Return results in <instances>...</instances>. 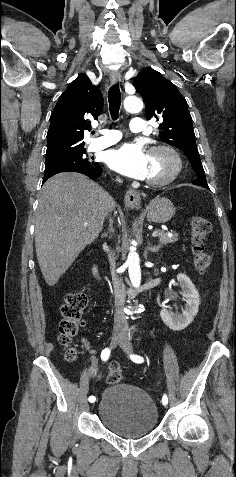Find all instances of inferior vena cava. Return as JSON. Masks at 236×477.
Segmentation results:
<instances>
[{"label":"inferior vena cava","instance_id":"inferior-vena-cava-1","mask_svg":"<svg viewBox=\"0 0 236 477\" xmlns=\"http://www.w3.org/2000/svg\"><path fill=\"white\" fill-rule=\"evenodd\" d=\"M110 263L112 268V280L114 286V294H115V306H116V314H115V324L127 326L126 317L122 311L123 305L125 304V297H126V290L125 285L123 283V279L120 278L116 274V261L114 254L111 253L110 255Z\"/></svg>","mask_w":236,"mask_h":477}]
</instances>
